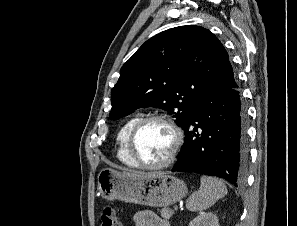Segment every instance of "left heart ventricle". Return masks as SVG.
Wrapping results in <instances>:
<instances>
[{
	"instance_id": "1",
	"label": "left heart ventricle",
	"mask_w": 297,
	"mask_h": 226,
	"mask_svg": "<svg viewBox=\"0 0 297 226\" xmlns=\"http://www.w3.org/2000/svg\"><path fill=\"white\" fill-rule=\"evenodd\" d=\"M174 142L172 130L164 123L145 124L135 139V151L142 162L156 164L169 155Z\"/></svg>"
}]
</instances>
